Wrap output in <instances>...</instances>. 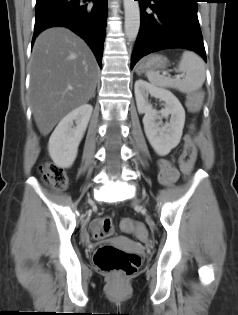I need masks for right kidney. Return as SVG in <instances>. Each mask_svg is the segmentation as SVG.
Returning <instances> with one entry per match:
<instances>
[{
  "mask_svg": "<svg viewBox=\"0 0 238 315\" xmlns=\"http://www.w3.org/2000/svg\"><path fill=\"white\" fill-rule=\"evenodd\" d=\"M92 111L93 107L90 104L75 108L59 122L53 131L49 139L48 151L57 166L70 168L74 163ZM74 122L75 127H73Z\"/></svg>",
  "mask_w": 238,
  "mask_h": 315,
  "instance_id": "right-kidney-1",
  "label": "right kidney"
}]
</instances>
